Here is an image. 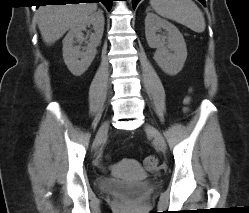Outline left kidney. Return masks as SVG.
Listing matches in <instances>:
<instances>
[{"mask_svg":"<svg viewBox=\"0 0 249 213\" xmlns=\"http://www.w3.org/2000/svg\"><path fill=\"white\" fill-rule=\"evenodd\" d=\"M160 29L166 32V46L163 43V36L156 34ZM145 34L149 47L156 48L154 60L158 66L168 75L179 73L187 58V48L178 28L154 13H147Z\"/></svg>","mask_w":249,"mask_h":213,"instance_id":"obj_1","label":"left kidney"}]
</instances>
